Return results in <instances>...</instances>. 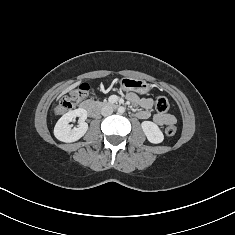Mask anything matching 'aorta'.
<instances>
[{"instance_id": "obj_1", "label": "aorta", "mask_w": 235, "mask_h": 235, "mask_svg": "<svg viewBox=\"0 0 235 235\" xmlns=\"http://www.w3.org/2000/svg\"><path fill=\"white\" fill-rule=\"evenodd\" d=\"M124 112H125V108L122 107V106H120V107L118 108V113L122 114V113H124Z\"/></svg>"}]
</instances>
